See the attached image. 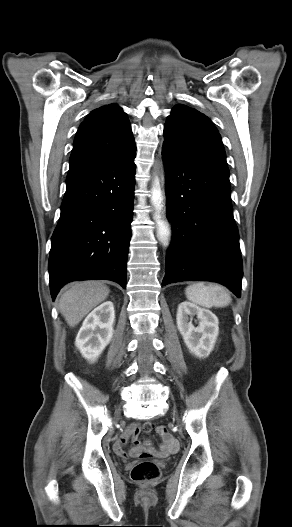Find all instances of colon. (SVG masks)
<instances>
[{"label": "colon", "instance_id": "1", "mask_svg": "<svg viewBox=\"0 0 292 527\" xmlns=\"http://www.w3.org/2000/svg\"><path fill=\"white\" fill-rule=\"evenodd\" d=\"M152 427L150 423H145L143 428L145 431ZM168 434V432H167ZM160 476L159 468L155 463L148 460L138 462L131 471V477L134 481L139 483L149 484L156 481Z\"/></svg>", "mask_w": 292, "mask_h": 527}]
</instances>
